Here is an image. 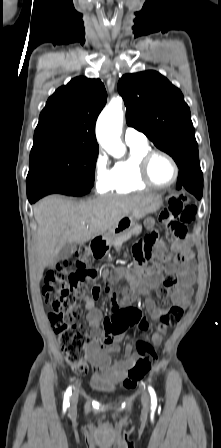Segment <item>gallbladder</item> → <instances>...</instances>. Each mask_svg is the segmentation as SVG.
<instances>
[{
  "label": "gallbladder",
  "instance_id": "obj_1",
  "mask_svg": "<svg viewBox=\"0 0 221 448\" xmlns=\"http://www.w3.org/2000/svg\"><path fill=\"white\" fill-rule=\"evenodd\" d=\"M72 243H66L61 250L59 251V253L57 254V256L55 257L54 261L51 264V267H53V265L63 259H66L70 256L71 251H72Z\"/></svg>",
  "mask_w": 221,
  "mask_h": 448
}]
</instances>
